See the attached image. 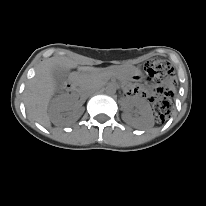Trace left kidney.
Returning a JSON list of instances; mask_svg holds the SVG:
<instances>
[{
	"label": "left kidney",
	"mask_w": 206,
	"mask_h": 206,
	"mask_svg": "<svg viewBox=\"0 0 206 206\" xmlns=\"http://www.w3.org/2000/svg\"><path fill=\"white\" fill-rule=\"evenodd\" d=\"M128 107H136L139 112L138 117H132L129 113L123 115V119L138 128H150L153 126V115L151 107L143 98H129L127 101Z\"/></svg>",
	"instance_id": "obj_1"
}]
</instances>
